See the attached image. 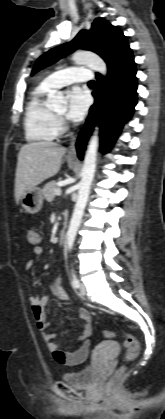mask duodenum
I'll return each instance as SVG.
<instances>
[{"mask_svg": "<svg viewBox=\"0 0 165 419\" xmlns=\"http://www.w3.org/2000/svg\"><path fill=\"white\" fill-rule=\"evenodd\" d=\"M66 232H67V228H66V224L64 223L59 234V240H58L59 245H62L64 243Z\"/></svg>", "mask_w": 165, "mask_h": 419, "instance_id": "410a0bca", "label": "duodenum"}]
</instances>
